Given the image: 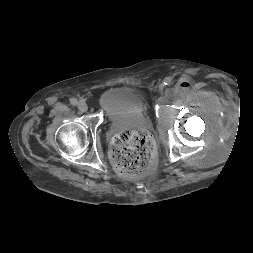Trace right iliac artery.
I'll return each mask as SVG.
<instances>
[{"label":"right iliac artery","mask_w":253,"mask_h":253,"mask_svg":"<svg viewBox=\"0 0 253 253\" xmlns=\"http://www.w3.org/2000/svg\"><path fill=\"white\" fill-rule=\"evenodd\" d=\"M70 103L73 105V106H76L78 104V101L76 98H71L70 99Z\"/></svg>","instance_id":"1"}]
</instances>
